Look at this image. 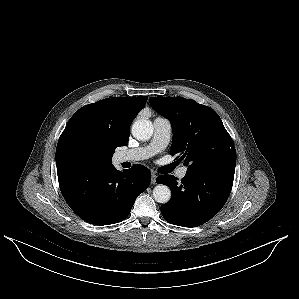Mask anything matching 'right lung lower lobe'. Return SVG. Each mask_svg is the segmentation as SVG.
Returning <instances> with one entry per match:
<instances>
[{
	"mask_svg": "<svg viewBox=\"0 0 299 299\" xmlns=\"http://www.w3.org/2000/svg\"><path fill=\"white\" fill-rule=\"evenodd\" d=\"M60 190L70 208L95 225L121 222L138 197L149 186L150 171L134 165L124 172L106 165H57Z\"/></svg>",
	"mask_w": 299,
	"mask_h": 299,
	"instance_id": "1",
	"label": "right lung lower lobe"
}]
</instances>
